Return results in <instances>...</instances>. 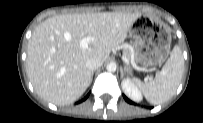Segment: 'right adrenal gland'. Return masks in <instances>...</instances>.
Segmentation results:
<instances>
[{
  "instance_id": "1",
  "label": "right adrenal gland",
  "mask_w": 203,
  "mask_h": 123,
  "mask_svg": "<svg viewBox=\"0 0 203 123\" xmlns=\"http://www.w3.org/2000/svg\"><path fill=\"white\" fill-rule=\"evenodd\" d=\"M94 72L91 73L90 83L92 82Z\"/></svg>"
}]
</instances>
